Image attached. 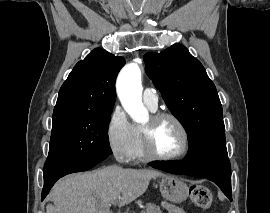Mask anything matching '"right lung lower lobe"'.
Wrapping results in <instances>:
<instances>
[{
	"label": "right lung lower lobe",
	"instance_id": "obj_1",
	"mask_svg": "<svg viewBox=\"0 0 270 213\" xmlns=\"http://www.w3.org/2000/svg\"><path fill=\"white\" fill-rule=\"evenodd\" d=\"M107 157L108 156H98L83 162L70 163L59 167L44 169V187L42 191V200L46 197L51 187L59 178L70 173L89 170Z\"/></svg>",
	"mask_w": 270,
	"mask_h": 213
}]
</instances>
